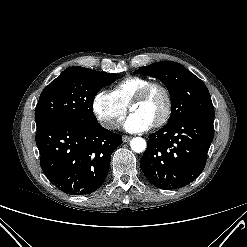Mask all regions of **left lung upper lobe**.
Segmentation results:
<instances>
[{"mask_svg": "<svg viewBox=\"0 0 247 247\" xmlns=\"http://www.w3.org/2000/svg\"><path fill=\"white\" fill-rule=\"evenodd\" d=\"M158 78L169 90L171 116L167 124L185 117H202L214 120V108L205 84L181 64L156 62L135 71Z\"/></svg>", "mask_w": 247, "mask_h": 247, "instance_id": "5c2ea615", "label": "left lung upper lobe"}]
</instances>
